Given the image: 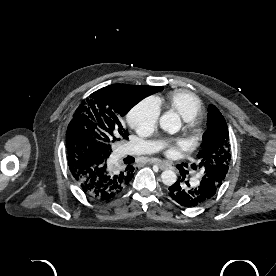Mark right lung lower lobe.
Wrapping results in <instances>:
<instances>
[{"mask_svg": "<svg viewBox=\"0 0 276 276\" xmlns=\"http://www.w3.org/2000/svg\"><path fill=\"white\" fill-rule=\"evenodd\" d=\"M108 157L84 140L67 145L69 170L85 195L105 201L119 195L132 180L136 169L128 165L122 171H113Z\"/></svg>", "mask_w": 276, "mask_h": 276, "instance_id": "obj_1", "label": "right lung lower lobe"}]
</instances>
